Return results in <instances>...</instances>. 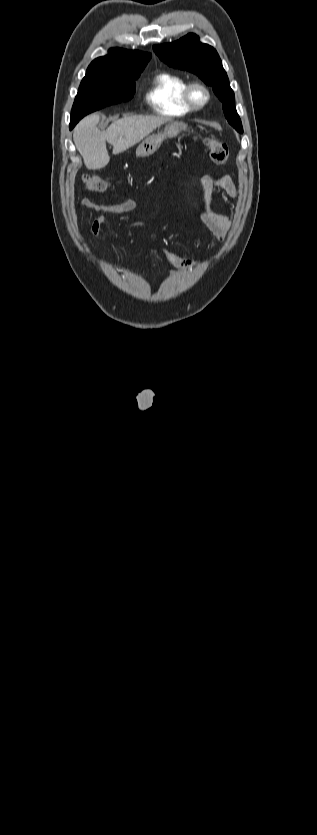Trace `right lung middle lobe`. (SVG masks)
I'll return each instance as SVG.
<instances>
[{
	"instance_id": "dd1d6c3e",
	"label": "right lung middle lobe",
	"mask_w": 317,
	"mask_h": 835,
	"mask_svg": "<svg viewBox=\"0 0 317 835\" xmlns=\"http://www.w3.org/2000/svg\"><path fill=\"white\" fill-rule=\"evenodd\" d=\"M144 67L145 65L133 70L86 75L72 107L70 129L93 111L130 100L135 93V79Z\"/></svg>"
}]
</instances>
